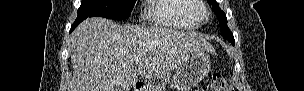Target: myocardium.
I'll use <instances>...</instances> for the list:
<instances>
[{
  "instance_id": "f54148a6",
  "label": "myocardium",
  "mask_w": 304,
  "mask_h": 91,
  "mask_svg": "<svg viewBox=\"0 0 304 91\" xmlns=\"http://www.w3.org/2000/svg\"><path fill=\"white\" fill-rule=\"evenodd\" d=\"M198 14L201 21H208L210 18V12L206 8L200 9Z\"/></svg>"
}]
</instances>
